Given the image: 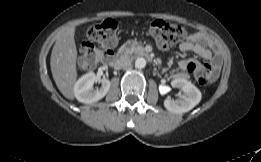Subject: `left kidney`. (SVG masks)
I'll list each match as a JSON object with an SVG mask.
<instances>
[{
    "label": "left kidney",
    "instance_id": "obj_1",
    "mask_svg": "<svg viewBox=\"0 0 261 162\" xmlns=\"http://www.w3.org/2000/svg\"><path fill=\"white\" fill-rule=\"evenodd\" d=\"M175 88H179L184 92L179 99L173 100L167 97L164 101L165 108L171 113L182 114L193 109L202 98L200 90L190 81L183 78H176L171 82Z\"/></svg>",
    "mask_w": 261,
    "mask_h": 162
}]
</instances>
